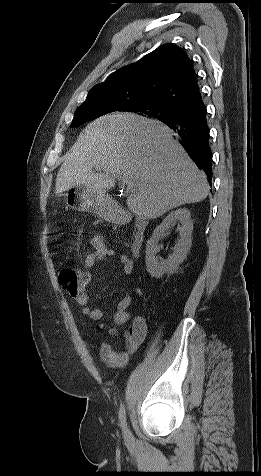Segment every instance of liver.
I'll list each match as a JSON object with an SVG mask.
<instances>
[{
  "label": "liver",
  "instance_id": "liver-1",
  "mask_svg": "<svg viewBox=\"0 0 261 476\" xmlns=\"http://www.w3.org/2000/svg\"><path fill=\"white\" fill-rule=\"evenodd\" d=\"M117 176L129 177L134 183L127 206L145 219L200 202L209 193L205 173L172 131L159 121L133 113L104 115L87 125L64 156L55 193L62 195L74 186L87 185L105 194L115 186Z\"/></svg>",
  "mask_w": 261,
  "mask_h": 476
}]
</instances>
